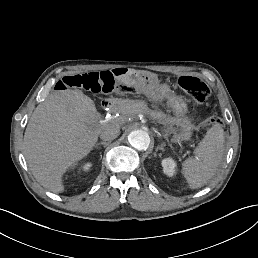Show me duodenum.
<instances>
[{"instance_id": "obj_1", "label": "duodenum", "mask_w": 258, "mask_h": 258, "mask_svg": "<svg viewBox=\"0 0 258 258\" xmlns=\"http://www.w3.org/2000/svg\"><path fill=\"white\" fill-rule=\"evenodd\" d=\"M111 75L117 81L128 82L137 76V71L129 67L117 66L111 70Z\"/></svg>"}]
</instances>
